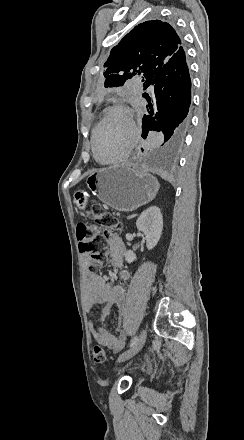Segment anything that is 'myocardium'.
Instances as JSON below:
<instances>
[{"mask_svg":"<svg viewBox=\"0 0 244 440\" xmlns=\"http://www.w3.org/2000/svg\"><path fill=\"white\" fill-rule=\"evenodd\" d=\"M112 111H119L122 113H126L130 116V120L131 123L134 127V129H136V124L133 120L134 118V112L128 108L125 105H114L113 107L110 108V110L107 111V114L105 115V117L102 119V122L99 124V126L97 128H95L93 135H92V153H93V157L95 158V160L103 165H120L122 164L129 156V152L128 151H124V147L127 143V140L129 138L128 137H123L122 138V142L120 144V146L117 148L118 152H121V154H119L117 157L114 158H108V159H102L98 156L97 151H96V138L99 136V133L101 131V129L105 126V123L107 122V119L110 117L109 115L112 114Z\"/></svg>","mask_w":244,"mask_h":440,"instance_id":"f54148a6","label":"myocardium"}]
</instances>
